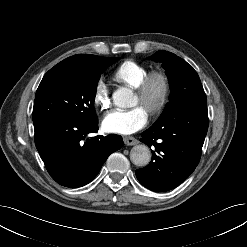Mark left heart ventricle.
Instances as JSON below:
<instances>
[{
    "instance_id": "obj_1",
    "label": "left heart ventricle",
    "mask_w": 247,
    "mask_h": 247,
    "mask_svg": "<svg viewBox=\"0 0 247 247\" xmlns=\"http://www.w3.org/2000/svg\"><path fill=\"white\" fill-rule=\"evenodd\" d=\"M159 92H160V86L159 83H156L152 89L150 100L148 102H142L140 98L137 95H135L134 105H140L144 109H147L148 104L155 102L157 100L159 96Z\"/></svg>"
}]
</instances>
